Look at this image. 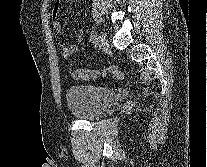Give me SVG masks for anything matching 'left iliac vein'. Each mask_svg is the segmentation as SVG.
<instances>
[{
  "instance_id": "1",
  "label": "left iliac vein",
  "mask_w": 207,
  "mask_h": 167,
  "mask_svg": "<svg viewBox=\"0 0 207 167\" xmlns=\"http://www.w3.org/2000/svg\"><path fill=\"white\" fill-rule=\"evenodd\" d=\"M98 46L103 51H106L109 48V41L107 39V36L103 33H101L98 37Z\"/></svg>"
}]
</instances>
